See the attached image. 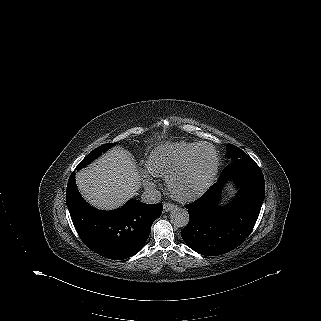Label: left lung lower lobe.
Returning <instances> with one entry per match:
<instances>
[{
  "instance_id": "1",
  "label": "left lung lower lobe",
  "mask_w": 321,
  "mask_h": 321,
  "mask_svg": "<svg viewBox=\"0 0 321 321\" xmlns=\"http://www.w3.org/2000/svg\"><path fill=\"white\" fill-rule=\"evenodd\" d=\"M229 179L236 182L239 193L228 205L219 206L221 191ZM264 196V177L255 161L240 158L231 162L203 196L185 206L190 220L181 231L184 242L206 256L233 250L251 233Z\"/></svg>"
}]
</instances>
